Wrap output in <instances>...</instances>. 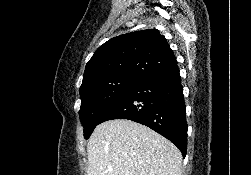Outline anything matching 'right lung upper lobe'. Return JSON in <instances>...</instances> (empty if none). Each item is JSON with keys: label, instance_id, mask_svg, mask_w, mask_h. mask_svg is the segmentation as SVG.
I'll list each match as a JSON object with an SVG mask.
<instances>
[{"label": "right lung upper lobe", "instance_id": "right-lung-upper-lobe-1", "mask_svg": "<svg viewBox=\"0 0 251 175\" xmlns=\"http://www.w3.org/2000/svg\"><path fill=\"white\" fill-rule=\"evenodd\" d=\"M175 66L174 53L157 29L135 31L114 37L96 50L86 64L81 87L118 76L143 79Z\"/></svg>", "mask_w": 251, "mask_h": 175}]
</instances>
